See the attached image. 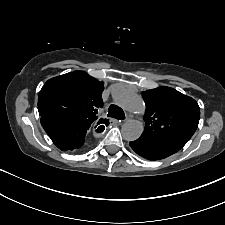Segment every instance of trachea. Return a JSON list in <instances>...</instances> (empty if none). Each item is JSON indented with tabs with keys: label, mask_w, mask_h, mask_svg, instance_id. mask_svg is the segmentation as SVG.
Here are the masks:
<instances>
[{
	"label": "trachea",
	"mask_w": 225,
	"mask_h": 225,
	"mask_svg": "<svg viewBox=\"0 0 225 225\" xmlns=\"http://www.w3.org/2000/svg\"><path fill=\"white\" fill-rule=\"evenodd\" d=\"M107 116L112 117V118H116L118 120H124L125 119L124 111L116 105H110V107L108 109Z\"/></svg>",
	"instance_id": "1"
}]
</instances>
